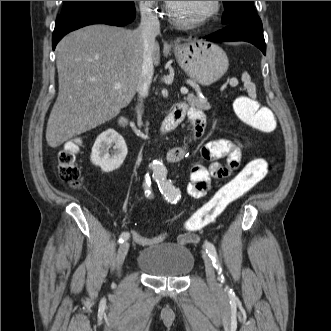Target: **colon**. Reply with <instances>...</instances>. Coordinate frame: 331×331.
<instances>
[{"label":"colon","mask_w":331,"mask_h":331,"mask_svg":"<svg viewBox=\"0 0 331 331\" xmlns=\"http://www.w3.org/2000/svg\"><path fill=\"white\" fill-rule=\"evenodd\" d=\"M234 109L238 118L254 130L270 133L277 127L272 111L261 106L252 97H238L234 102ZM78 150V143L72 141L67 143L57 155L60 178L75 188L82 184L80 168L76 163ZM268 169L269 165L265 159L256 158L231 177L209 201L187 220L188 233L180 238L181 242L197 243L199 238L194 231L214 223L232 203L259 184L266 177Z\"/></svg>","instance_id":"5ec220e1"}]
</instances>
